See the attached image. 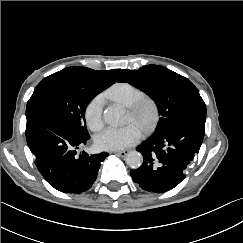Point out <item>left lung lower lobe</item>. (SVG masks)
<instances>
[{
	"label": "left lung lower lobe",
	"mask_w": 243,
	"mask_h": 243,
	"mask_svg": "<svg viewBox=\"0 0 243 243\" xmlns=\"http://www.w3.org/2000/svg\"><path fill=\"white\" fill-rule=\"evenodd\" d=\"M206 108L188 111L171 122L157 138H148L137 148L143 164L130 175L146 191L163 193L176 187L198 154L205 135Z\"/></svg>",
	"instance_id": "1"
}]
</instances>
